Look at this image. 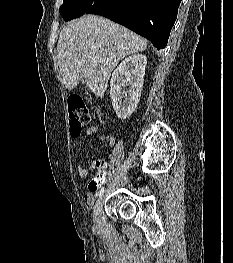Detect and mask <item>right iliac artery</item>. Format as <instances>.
Masks as SVG:
<instances>
[{
  "label": "right iliac artery",
  "mask_w": 233,
  "mask_h": 263,
  "mask_svg": "<svg viewBox=\"0 0 233 263\" xmlns=\"http://www.w3.org/2000/svg\"><path fill=\"white\" fill-rule=\"evenodd\" d=\"M105 192V188H102L101 190H99V192H97L96 196H101L103 195Z\"/></svg>",
  "instance_id": "obj_1"
}]
</instances>
